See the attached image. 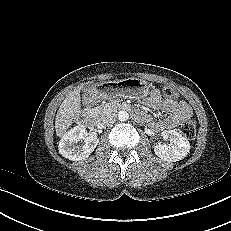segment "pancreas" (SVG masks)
<instances>
[{
	"label": "pancreas",
	"instance_id": "obj_1",
	"mask_svg": "<svg viewBox=\"0 0 231 231\" xmlns=\"http://www.w3.org/2000/svg\"><path fill=\"white\" fill-rule=\"evenodd\" d=\"M120 104L116 102H110V103H102L100 106H98V111L100 115H103L105 113L114 112L120 108Z\"/></svg>",
	"mask_w": 231,
	"mask_h": 231
}]
</instances>
